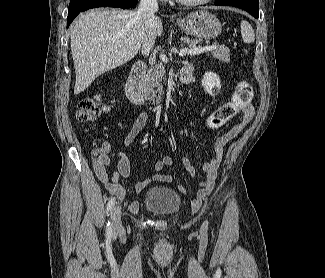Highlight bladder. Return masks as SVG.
<instances>
[{"instance_id": "1", "label": "bladder", "mask_w": 325, "mask_h": 278, "mask_svg": "<svg viewBox=\"0 0 325 278\" xmlns=\"http://www.w3.org/2000/svg\"><path fill=\"white\" fill-rule=\"evenodd\" d=\"M181 204L180 196L165 186L150 188L144 198V206L155 216H170L176 213Z\"/></svg>"}]
</instances>
